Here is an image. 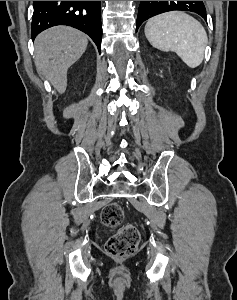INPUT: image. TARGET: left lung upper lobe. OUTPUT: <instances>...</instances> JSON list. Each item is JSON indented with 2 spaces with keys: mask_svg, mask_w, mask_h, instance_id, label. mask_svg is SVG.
Wrapping results in <instances>:
<instances>
[{
  "mask_svg": "<svg viewBox=\"0 0 237 300\" xmlns=\"http://www.w3.org/2000/svg\"><path fill=\"white\" fill-rule=\"evenodd\" d=\"M173 10L195 12L206 20V9L203 1H141L136 29L147 19Z\"/></svg>",
  "mask_w": 237,
  "mask_h": 300,
  "instance_id": "1",
  "label": "left lung upper lobe"
}]
</instances>
